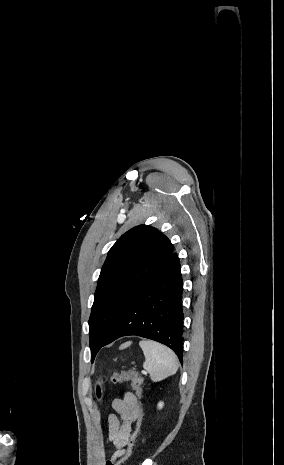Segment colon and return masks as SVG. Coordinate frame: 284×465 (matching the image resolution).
Returning a JSON list of instances; mask_svg holds the SVG:
<instances>
[{
	"label": "colon",
	"instance_id": "5ec220e1",
	"mask_svg": "<svg viewBox=\"0 0 284 465\" xmlns=\"http://www.w3.org/2000/svg\"><path fill=\"white\" fill-rule=\"evenodd\" d=\"M110 381L113 383H119V382H124V381H131L132 382V387L133 390L137 395H140L142 393V383L143 379L141 375L134 370H123L119 372H114L110 376ZM97 395L100 401H102L104 397L103 389L99 386L97 389ZM140 421H137L136 427L133 431V434L129 437V440L126 442V445L124 446L125 450H128L127 457H118L116 460L118 462H106L105 465H125L124 462L128 463L130 462L131 458H133V454H135V449H133V446L138 442V434L140 431ZM132 448V449H131ZM127 452V451H126ZM124 456V455H123ZM123 461V462H122Z\"/></svg>",
	"mask_w": 284,
	"mask_h": 465
}]
</instances>
